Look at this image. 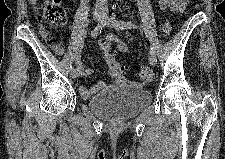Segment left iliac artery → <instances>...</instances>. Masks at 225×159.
Wrapping results in <instances>:
<instances>
[{
    "mask_svg": "<svg viewBox=\"0 0 225 159\" xmlns=\"http://www.w3.org/2000/svg\"><path fill=\"white\" fill-rule=\"evenodd\" d=\"M122 23L125 24L126 26H128L129 28H134V29H138V28H139V29H140L139 26H137V25H135V24H132L131 22H125V21H122ZM144 34H145V33H144ZM144 37H146V36H144ZM145 39H146V38H145ZM148 46L150 47L151 45L149 44ZM150 52L155 54V52H154V50H153L152 47L150 48Z\"/></svg>",
    "mask_w": 225,
    "mask_h": 159,
    "instance_id": "1",
    "label": "left iliac artery"
}]
</instances>
